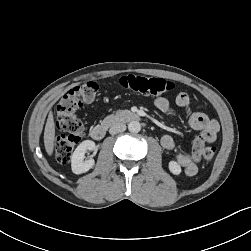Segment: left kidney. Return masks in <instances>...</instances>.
<instances>
[{
	"mask_svg": "<svg viewBox=\"0 0 251 251\" xmlns=\"http://www.w3.org/2000/svg\"><path fill=\"white\" fill-rule=\"evenodd\" d=\"M168 167L170 172L174 175H179L181 173V167L176 161H170Z\"/></svg>",
	"mask_w": 251,
	"mask_h": 251,
	"instance_id": "5707ae66",
	"label": "left kidney"
}]
</instances>
